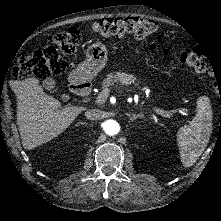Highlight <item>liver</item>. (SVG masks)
<instances>
[{"instance_id": "6515ba94", "label": "liver", "mask_w": 221, "mask_h": 221, "mask_svg": "<svg viewBox=\"0 0 221 221\" xmlns=\"http://www.w3.org/2000/svg\"><path fill=\"white\" fill-rule=\"evenodd\" d=\"M17 125L25 149L31 150L58 137L85 107L68 106L46 94L36 78L15 81Z\"/></svg>"}]
</instances>
